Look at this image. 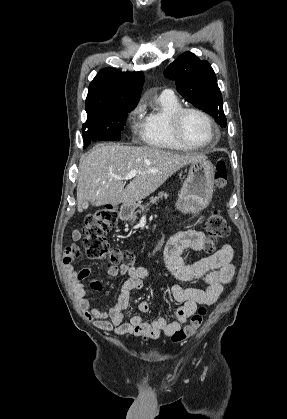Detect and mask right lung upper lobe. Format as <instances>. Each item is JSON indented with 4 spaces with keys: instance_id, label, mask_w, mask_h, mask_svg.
<instances>
[{
    "instance_id": "obj_1",
    "label": "right lung upper lobe",
    "mask_w": 287,
    "mask_h": 419,
    "mask_svg": "<svg viewBox=\"0 0 287 419\" xmlns=\"http://www.w3.org/2000/svg\"><path fill=\"white\" fill-rule=\"evenodd\" d=\"M144 75L142 72H121L105 68L90 83L85 102L87 113L122 105H137Z\"/></svg>"
}]
</instances>
